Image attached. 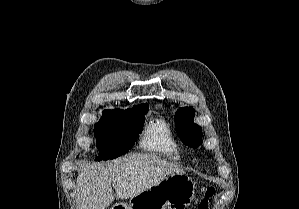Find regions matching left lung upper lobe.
I'll return each mask as SVG.
<instances>
[{
    "label": "left lung upper lobe",
    "mask_w": 299,
    "mask_h": 209,
    "mask_svg": "<svg viewBox=\"0 0 299 209\" xmlns=\"http://www.w3.org/2000/svg\"><path fill=\"white\" fill-rule=\"evenodd\" d=\"M193 107L180 108L175 114L176 131L185 145L197 148L202 143V129L193 122Z\"/></svg>",
    "instance_id": "obj_1"
}]
</instances>
